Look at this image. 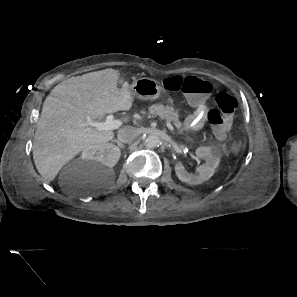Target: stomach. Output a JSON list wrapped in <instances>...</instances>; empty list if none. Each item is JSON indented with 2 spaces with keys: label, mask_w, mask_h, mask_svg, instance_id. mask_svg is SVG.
<instances>
[{
  "label": "stomach",
  "mask_w": 297,
  "mask_h": 297,
  "mask_svg": "<svg viewBox=\"0 0 297 297\" xmlns=\"http://www.w3.org/2000/svg\"><path fill=\"white\" fill-rule=\"evenodd\" d=\"M130 92L133 97L143 100L157 99L162 92L159 82L152 78H138L130 86Z\"/></svg>",
  "instance_id": "obj_1"
}]
</instances>
